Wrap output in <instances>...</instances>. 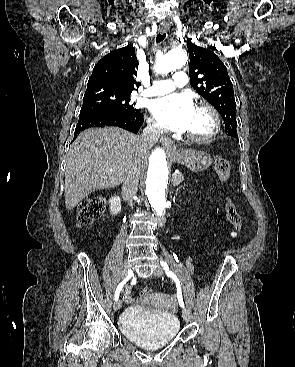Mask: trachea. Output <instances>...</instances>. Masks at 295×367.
Masks as SVG:
<instances>
[{"label":"trachea","instance_id":"obj_1","mask_svg":"<svg viewBox=\"0 0 295 367\" xmlns=\"http://www.w3.org/2000/svg\"><path fill=\"white\" fill-rule=\"evenodd\" d=\"M165 37H166L165 33L164 34L159 33L156 37V42L159 43V42L163 41Z\"/></svg>","mask_w":295,"mask_h":367}]
</instances>
